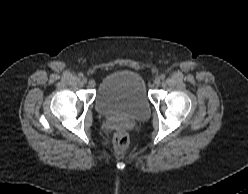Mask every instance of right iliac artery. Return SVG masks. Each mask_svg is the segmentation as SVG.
<instances>
[{"instance_id": "82829eb1", "label": "right iliac artery", "mask_w": 248, "mask_h": 194, "mask_svg": "<svg viewBox=\"0 0 248 194\" xmlns=\"http://www.w3.org/2000/svg\"><path fill=\"white\" fill-rule=\"evenodd\" d=\"M78 76H79L80 78H82V77H83V74H82V73H79Z\"/></svg>"}]
</instances>
